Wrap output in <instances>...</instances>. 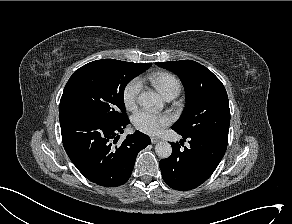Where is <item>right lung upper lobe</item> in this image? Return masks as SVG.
Listing matches in <instances>:
<instances>
[{
    "label": "right lung upper lobe",
    "mask_w": 292,
    "mask_h": 224,
    "mask_svg": "<svg viewBox=\"0 0 292 224\" xmlns=\"http://www.w3.org/2000/svg\"><path fill=\"white\" fill-rule=\"evenodd\" d=\"M135 64V63H134ZM138 68L142 70H147L152 64L151 63H137L135 64Z\"/></svg>",
    "instance_id": "obj_1"
}]
</instances>
